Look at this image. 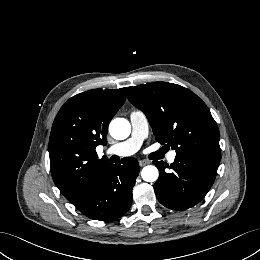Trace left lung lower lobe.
Masks as SVG:
<instances>
[{
  "mask_svg": "<svg viewBox=\"0 0 260 260\" xmlns=\"http://www.w3.org/2000/svg\"><path fill=\"white\" fill-rule=\"evenodd\" d=\"M220 161L190 155H176L166 173L162 161H154L160 171L154 184L159 202L173 210H186L199 203L211 188Z\"/></svg>",
  "mask_w": 260,
  "mask_h": 260,
  "instance_id": "0a47b994",
  "label": "left lung lower lobe"
}]
</instances>
